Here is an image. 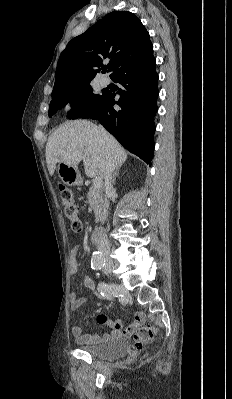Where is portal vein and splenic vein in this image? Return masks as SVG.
<instances>
[{
    "instance_id": "1",
    "label": "portal vein and splenic vein",
    "mask_w": 232,
    "mask_h": 399,
    "mask_svg": "<svg viewBox=\"0 0 232 399\" xmlns=\"http://www.w3.org/2000/svg\"><path fill=\"white\" fill-rule=\"evenodd\" d=\"M93 186H94V188H98V190H100V188L102 186L101 176H96V178H93Z\"/></svg>"
}]
</instances>
